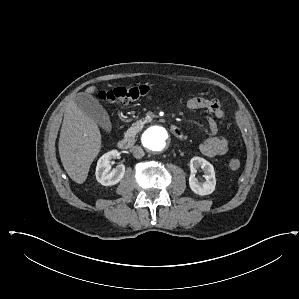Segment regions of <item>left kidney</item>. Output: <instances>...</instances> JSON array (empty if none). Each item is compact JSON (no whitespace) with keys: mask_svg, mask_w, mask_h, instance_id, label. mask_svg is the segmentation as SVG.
<instances>
[{"mask_svg":"<svg viewBox=\"0 0 299 299\" xmlns=\"http://www.w3.org/2000/svg\"><path fill=\"white\" fill-rule=\"evenodd\" d=\"M201 168L204 171L205 181L199 182L195 177L197 169ZM191 175L189 177V186L191 190L200 196L213 193L216 186V178L214 167L211 163L201 157H193L190 161Z\"/></svg>","mask_w":299,"mask_h":299,"instance_id":"5707ae66","label":"left kidney"}]
</instances>
